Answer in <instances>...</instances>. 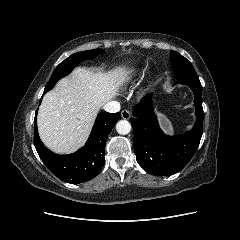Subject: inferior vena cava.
I'll list each match as a JSON object with an SVG mask.
<instances>
[{
  "mask_svg": "<svg viewBox=\"0 0 240 240\" xmlns=\"http://www.w3.org/2000/svg\"><path fill=\"white\" fill-rule=\"evenodd\" d=\"M103 109L106 112L109 113H116L118 111H120V103L117 101H108L104 106Z\"/></svg>",
  "mask_w": 240,
  "mask_h": 240,
  "instance_id": "1",
  "label": "inferior vena cava"
}]
</instances>
